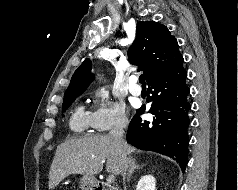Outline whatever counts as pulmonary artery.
Returning a JSON list of instances; mask_svg holds the SVG:
<instances>
[{
    "label": "pulmonary artery",
    "instance_id": "pulmonary-artery-1",
    "mask_svg": "<svg viewBox=\"0 0 238 190\" xmlns=\"http://www.w3.org/2000/svg\"><path fill=\"white\" fill-rule=\"evenodd\" d=\"M128 90L133 96H139L141 94V88L137 85V78L135 76L129 79Z\"/></svg>",
    "mask_w": 238,
    "mask_h": 190
}]
</instances>
